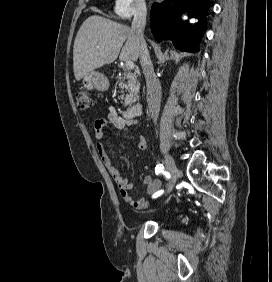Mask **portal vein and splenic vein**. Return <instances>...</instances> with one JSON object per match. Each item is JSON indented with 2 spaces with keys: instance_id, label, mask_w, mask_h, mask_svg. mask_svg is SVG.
Listing matches in <instances>:
<instances>
[{
  "instance_id": "obj_1",
  "label": "portal vein and splenic vein",
  "mask_w": 272,
  "mask_h": 282,
  "mask_svg": "<svg viewBox=\"0 0 272 282\" xmlns=\"http://www.w3.org/2000/svg\"><path fill=\"white\" fill-rule=\"evenodd\" d=\"M125 67H126V69H128V70H132V69H134L135 64H134L133 61H126V62H125Z\"/></svg>"
}]
</instances>
